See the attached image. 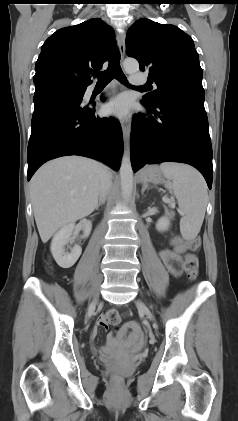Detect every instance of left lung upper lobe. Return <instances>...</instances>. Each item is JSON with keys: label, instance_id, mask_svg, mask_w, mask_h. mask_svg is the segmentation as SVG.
Wrapping results in <instances>:
<instances>
[{"label": "left lung upper lobe", "instance_id": "5c2ea615", "mask_svg": "<svg viewBox=\"0 0 238 421\" xmlns=\"http://www.w3.org/2000/svg\"><path fill=\"white\" fill-rule=\"evenodd\" d=\"M126 54L134 57L140 70L150 69L148 81L157 89L141 101L155 106L164 94L189 85L202 86V69L192 38L174 25L147 18L138 19L128 29Z\"/></svg>", "mask_w": 238, "mask_h": 421}]
</instances>
